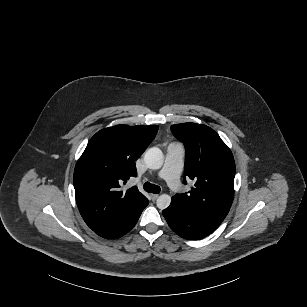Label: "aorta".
I'll return each instance as SVG.
<instances>
[{
    "label": "aorta",
    "mask_w": 307,
    "mask_h": 307,
    "mask_svg": "<svg viewBox=\"0 0 307 307\" xmlns=\"http://www.w3.org/2000/svg\"><path fill=\"white\" fill-rule=\"evenodd\" d=\"M144 162L150 169H159L164 162L163 151L158 147L149 148L144 154ZM171 198L167 194L160 195L156 200V205L163 210L169 207Z\"/></svg>",
    "instance_id": "aorta-1"
}]
</instances>
